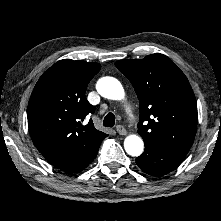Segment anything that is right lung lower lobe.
Here are the masks:
<instances>
[{"instance_id":"1","label":"right lung lower lobe","mask_w":221,"mask_h":221,"mask_svg":"<svg viewBox=\"0 0 221 221\" xmlns=\"http://www.w3.org/2000/svg\"><path fill=\"white\" fill-rule=\"evenodd\" d=\"M101 142L102 140L66 160L51 164L69 174L80 172L95 159Z\"/></svg>"}]
</instances>
